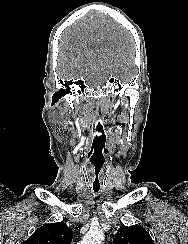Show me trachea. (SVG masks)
<instances>
[{
  "label": "trachea",
  "mask_w": 188,
  "mask_h": 244,
  "mask_svg": "<svg viewBox=\"0 0 188 244\" xmlns=\"http://www.w3.org/2000/svg\"><path fill=\"white\" fill-rule=\"evenodd\" d=\"M93 188L95 191H99L102 188L103 181L102 180H93L92 181Z\"/></svg>",
  "instance_id": "obj_1"
}]
</instances>
